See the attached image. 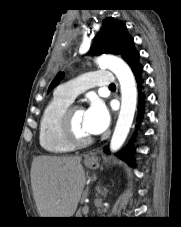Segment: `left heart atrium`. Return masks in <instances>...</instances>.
<instances>
[{
	"label": "left heart atrium",
	"instance_id": "39dd6f15",
	"mask_svg": "<svg viewBox=\"0 0 181 227\" xmlns=\"http://www.w3.org/2000/svg\"><path fill=\"white\" fill-rule=\"evenodd\" d=\"M84 112L85 127L90 134H100L107 128L110 116L106 106L101 101H93Z\"/></svg>",
	"mask_w": 181,
	"mask_h": 227
}]
</instances>
